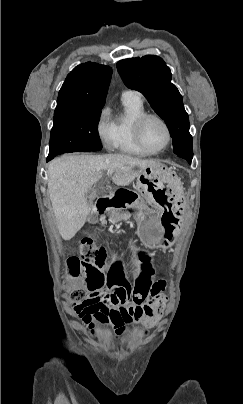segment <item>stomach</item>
<instances>
[{
    "label": "stomach",
    "instance_id": "0dacf381",
    "mask_svg": "<svg viewBox=\"0 0 243 404\" xmlns=\"http://www.w3.org/2000/svg\"><path fill=\"white\" fill-rule=\"evenodd\" d=\"M136 210L137 232L148 248L170 247L177 239L184 214V188L178 176L156 162L139 170ZM151 206V208H149Z\"/></svg>",
    "mask_w": 243,
    "mask_h": 404
}]
</instances>
